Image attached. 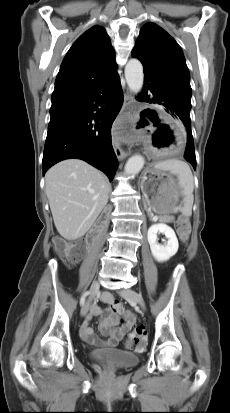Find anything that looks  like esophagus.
Segmentation results:
<instances>
[{
    "label": "esophagus",
    "instance_id": "obj_1",
    "mask_svg": "<svg viewBox=\"0 0 230 413\" xmlns=\"http://www.w3.org/2000/svg\"><path fill=\"white\" fill-rule=\"evenodd\" d=\"M133 102H134V97L130 93L127 92L125 95V102H124L125 107L128 109L129 105L132 104ZM114 150H115V153L118 159H123L128 155V153L124 152L121 149V147L119 146L117 142L114 146Z\"/></svg>",
    "mask_w": 230,
    "mask_h": 413
}]
</instances>
